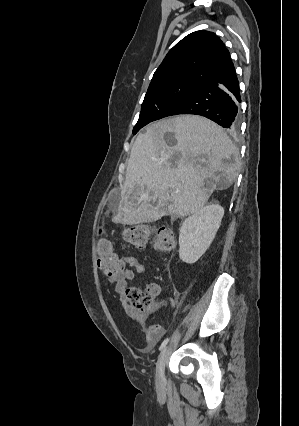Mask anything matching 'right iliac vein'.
<instances>
[{"label":"right iliac vein","instance_id":"1","mask_svg":"<svg viewBox=\"0 0 299 426\" xmlns=\"http://www.w3.org/2000/svg\"><path fill=\"white\" fill-rule=\"evenodd\" d=\"M168 356V347H164L159 355L156 365V384L161 387L164 382L165 364Z\"/></svg>","mask_w":299,"mask_h":426}]
</instances>
